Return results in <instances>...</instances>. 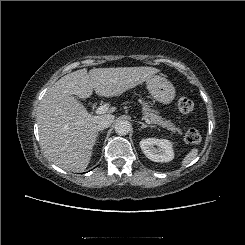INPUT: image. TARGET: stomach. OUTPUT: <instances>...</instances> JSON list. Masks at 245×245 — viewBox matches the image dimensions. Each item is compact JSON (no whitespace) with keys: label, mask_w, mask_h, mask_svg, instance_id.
<instances>
[{"label":"stomach","mask_w":245,"mask_h":245,"mask_svg":"<svg viewBox=\"0 0 245 245\" xmlns=\"http://www.w3.org/2000/svg\"><path fill=\"white\" fill-rule=\"evenodd\" d=\"M146 86L152 97L164 105L170 104L175 98L173 84L162 76H152L146 81Z\"/></svg>","instance_id":"stomach-1"}]
</instances>
